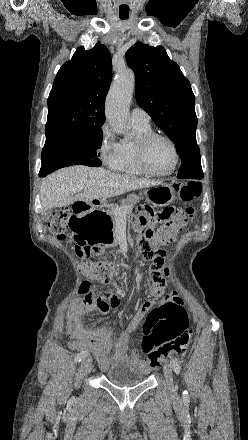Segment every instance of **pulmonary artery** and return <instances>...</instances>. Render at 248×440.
<instances>
[{"label": "pulmonary artery", "mask_w": 248, "mask_h": 440, "mask_svg": "<svg viewBox=\"0 0 248 440\" xmlns=\"http://www.w3.org/2000/svg\"><path fill=\"white\" fill-rule=\"evenodd\" d=\"M131 120L133 124L149 126L150 116L149 114L140 107H135L131 111Z\"/></svg>", "instance_id": "1"}]
</instances>
